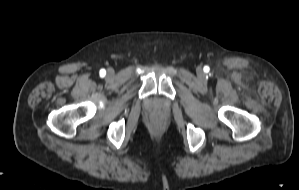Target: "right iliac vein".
Segmentation results:
<instances>
[{"label":"right iliac vein","mask_w":299,"mask_h":190,"mask_svg":"<svg viewBox=\"0 0 299 190\" xmlns=\"http://www.w3.org/2000/svg\"><path fill=\"white\" fill-rule=\"evenodd\" d=\"M108 75H110V76L112 75V71L111 70L108 71Z\"/></svg>","instance_id":"obj_1"}]
</instances>
